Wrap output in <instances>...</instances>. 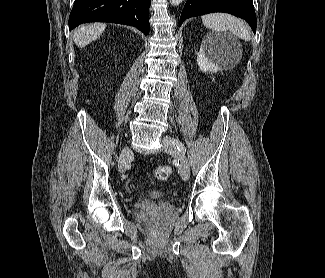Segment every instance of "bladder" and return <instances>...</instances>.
I'll return each instance as SVG.
<instances>
[{"label": "bladder", "mask_w": 325, "mask_h": 278, "mask_svg": "<svg viewBox=\"0 0 325 278\" xmlns=\"http://www.w3.org/2000/svg\"><path fill=\"white\" fill-rule=\"evenodd\" d=\"M151 195L155 198H161L168 196V193L164 190H156Z\"/></svg>", "instance_id": "obj_1"}]
</instances>
